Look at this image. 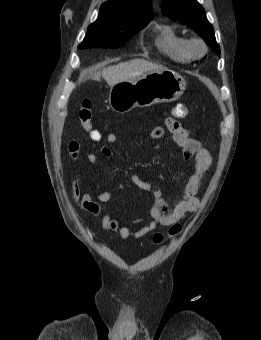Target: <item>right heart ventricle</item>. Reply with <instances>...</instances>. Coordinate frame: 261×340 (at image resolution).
<instances>
[{
    "mask_svg": "<svg viewBox=\"0 0 261 340\" xmlns=\"http://www.w3.org/2000/svg\"><path fill=\"white\" fill-rule=\"evenodd\" d=\"M157 48L170 59L189 62L193 55L189 50V40L170 25L163 26L156 38Z\"/></svg>",
    "mask_w": 261,
    "mask_h": 340,
    "instance_id": "obj_1",
    "label": "right heart ventricle"
}]
</instances>
